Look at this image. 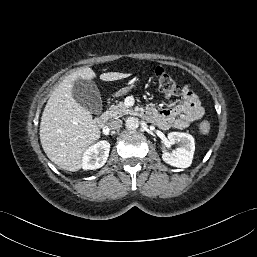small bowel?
Instances as JSON below:
<instances>
[{
	"mask_svg": "<svg viewBox=\"0 0 257 257\" xmlns=\"http://www.w3.org/2000/svg\"><path fill=\"white\" fill-rule=\"evenodd\" d=\"M145 116L162 129H185L192 122L199 120L204 115V109L198 96L189 86L182 87L181 100L170 109L158 110L154 106L144 109Z\"/></svg>",
	"mask_w": 257,
	"mask_h": 257,
	"instance_id": "small-bowel-1",
	"label": "small bowel"
}]
</instances>
